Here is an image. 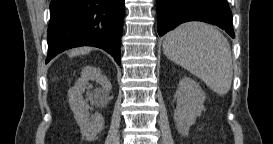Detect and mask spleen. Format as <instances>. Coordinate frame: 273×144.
Here are the masks:
<instances>
[{
    "label": "spleen",
    "instance_id": "spleen-1",
    "mask_svg": "<svg viewBox=\"0 0 273 144\" xmlns=\"http://www.w3.org/2000/svg\"><path fill=\"white\" fill-rule=\"evenodd\" d=\"M163 52L219 95L228 93L233 77L228 40L214 26L184 23L166 34Z\"/></svg>",
    "mask_w": 273,
    "mask_h": 144
}]
</instances>
